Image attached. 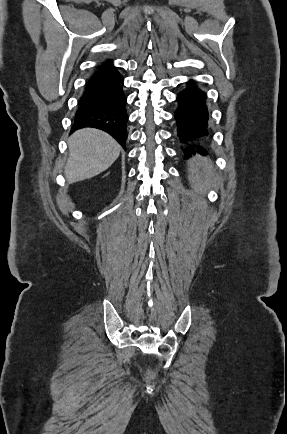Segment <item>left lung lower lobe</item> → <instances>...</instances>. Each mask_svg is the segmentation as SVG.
Segmentation results:
<instances>
[{
    "mask_svg": "<svg viewBox=\"0 0 287 434\" xmlns=\"http://www.w3.org/2000/svg\"><path fill=\"white\" fill-rule=\"evenodd\" d=\"M206 95L193 80L177 97L178 108L175 111L177 137L186 156L195 152V148L204 152V145L209 136L208 110Z\"/></svg>",
    "mask_w": 287,
    "mask_h": 434,
    "instance_id": "0a47b994",
    "label": "left lung lower lobe"
}]
</instances>
